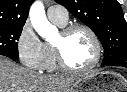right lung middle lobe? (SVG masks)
I'll list each match as a JSON object with an SVG mask.
<instances>
[{"label":"right lung middle lobe","instance_id":"1","mask_svg":"<svg viewBox=\"0 0 127 92\" xmlns=\"http://www.w3.org/2000/svg\"><path fill=\"white\" fill-rule=\"evenodd\" d=\"M23 26H0V55L17 58L19 37Z\"/></svg>","mask_w":127,"mask_h":92}]
</instances>
